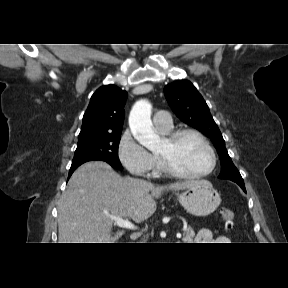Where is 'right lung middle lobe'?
I'll list each match as a JSON object with an SVG mask.
<instances>
[{
    "instance_id": "obj_1",
    "label": "right lung middle lobe",
    "mask_w": 288,
    "mask_h": 288,
    "mask_svg": "<svg viewBox=\"0 0 288 288\" xmlns=\"http://www.w3.org/2000/svg\"><path fill=\"white\" fill-rule=\"evenodd\" d=\"M120 135L121 132L79 140L71 166L81 165L87 161L101 160L113 168L122 170L123 167L118 158Z\"/></svg>"
}]
</instances>
